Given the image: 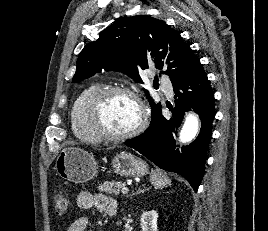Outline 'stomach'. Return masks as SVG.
<instances>
[{
  "label": "stomach",
  "mask_w": 268,
  "mask_h": 231,
  "mask_svg": "<svg viewBox=\"0 0 268 231\" xmlns=\"http://www.w3.org/2000/svg\"><path fill=\"white\" fill-rule=\"evenodd\" d=\"M116 174L125 177H142L148 173V166L142 159L127 152L116 154L112 160ZM58 175L70 182L85 183L97 174L98 165L92 154L78 148H64L55 163Z\"/></svg>",
  "instance_id": "1"
}]
</instances>
